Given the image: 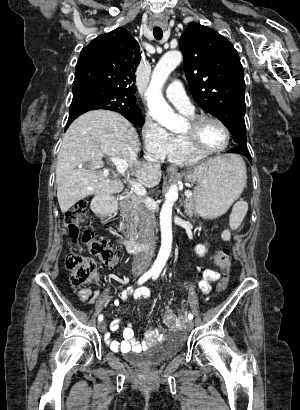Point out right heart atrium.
<instances>
[{
	"instance_id": "right-heart-atrium-1",
	"label": "right heart atrium",
	"mask_w": 300,
	"mask_h": 410,
	"mask_svg": "<svg viewBox=\"0 0 300 410\" xmlns=\"http://www.w3.org/2000/svg\"><path fill=\"white\" fill-rule=\"evenodd\" d=\"M141 133L145 153L155 159H164L171 146V134L149 115L144 118Z\"/></svg>"
}]
</instances>
